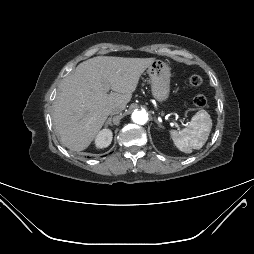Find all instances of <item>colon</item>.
I'll list each match as a JSON object with an SVG mask.
<instances>
[{"label":"colon","mask_w":254,"mask_h":254,"mask_svg":"<svg viewBox=\"0 0 254 254\" xmlns=\"http://www.w3.org/2000/svg\"><path fill=\"white\" fill-rule=\"evenodd\" d=\"M201 84H202L201 76H199L197 74H193L189 77V85L191 87H198ZM193 103H194L195 107L202 108L206 105V98L202 94L196 95L193 99Z\"/></svg>","instance_id":"colon-1"}]
</instances>
